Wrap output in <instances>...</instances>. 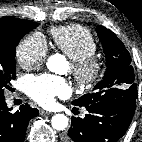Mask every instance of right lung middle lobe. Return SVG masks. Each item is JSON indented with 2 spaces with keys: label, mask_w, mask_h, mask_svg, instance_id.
<instances>
[{
  "label": "right lung middle lobe",
  "mask_w": 142,
  "mask_h": 142,
  "mask_svg": "<svg viewBox=\"0 0 142 142\" xmlns=\"http://www.w3.org/2000/svg\"><path fill=\"white\" fill-rule=\"evenodd\" d=\"M36 26V22L29 21L0 31V96H4V89H9L10 80L16 77V46L21 38Z\"/></svg>",
  "instance_id": "right-lung-middle-lobe-1"
}]
</instances>
